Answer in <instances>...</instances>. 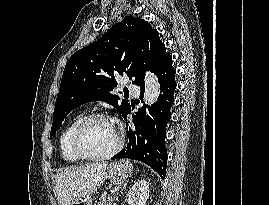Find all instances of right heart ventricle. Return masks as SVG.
I'll list each match as a JSON object with an SVG mask.
<instances>
[{"label":"right heart ventricle","mask_w":269,"mask_h":205,"mask_svg":"<svg viewBox=\"0 0 269 205\" xmlns=\"http://www.w3.org/2000/svg\"><path fill=\"white\" fill-rule=\"evenodd\" d=\"M85 118L83 114H78L74 116L66 125L64 130L62 131L59 138V147L61 156L64 161L68 163H78L82 159L79 158L76 153L72 149L71 139L74 130L80 124V122Z\"/></svg>","instance_id":"1"}]
</instances>
